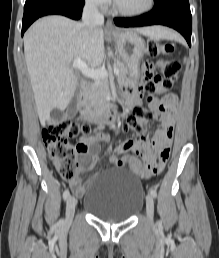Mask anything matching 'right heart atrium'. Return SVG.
<instances>
[{
    "label": "right heart atrium",
    "mask_w": 219,
    "mask_h": 258,
    "mask_svg": "<svg viewBox=\"0 0 219 258\" xmlns=\"http://www.w3.org/2000/svg\"><path fill=\"white\" fill-rule=\"evenodd\" d=\"M85 2L97 9H104L110 4V0H85Z\"/></svg>",
    "instance_id": "1"
}]
</instances>
